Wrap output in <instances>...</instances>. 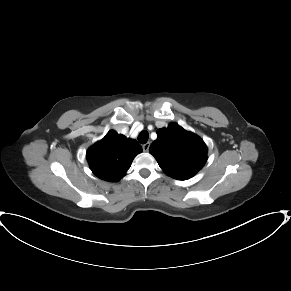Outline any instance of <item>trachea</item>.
Returning a JSON list of instances; mask_svg holds the SVG:
<instances>
[{
  "label": "trachea",
  "instance_id": "3493384b",
  "mask_svg": "<svg viewBox=\"0 0 291 291\" xmlns=\"http://www.w3.org/2000/svg\"><path fill=\"white\" fill-rule=\"evenodd\" d=\"M148 138H149V134L147 131H142L139 135H138V141L141 143V144H145L147 141H148Z\"/></svg>",
  "mask_w": 291,
  "mask_h": 291
}]
</instances>
